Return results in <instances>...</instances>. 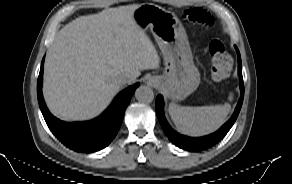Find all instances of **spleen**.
I'll return each instance as SVG.
<instances>
[{
    "mask_svg": "<svg viewBox=\"0 0 292 184\" xmlns=\"http://www.w3.org/2000/svg\"><path fill=\"white\" fill-rule=\"evenodd\" d=\"M232 99V96L229 97ZM230 105L181 107L171 103L169 115L182 134L199 137L216 131L225 121Z\"/></svg>",
    "mask_w": 292,
    "mask_h": 184,
    "instance_id": "obj_1",
    "label": "spleen"
}]
</instances>
